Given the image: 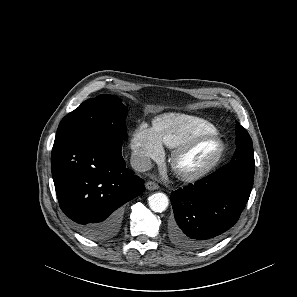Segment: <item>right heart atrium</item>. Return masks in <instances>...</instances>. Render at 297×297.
<instances>
[{
    "instance_id": "obj_1",
    "label": "right heart atrium",
    "mask_w": 297,
    "mask_h": 297,
    "mask_svg": "<svg viewBox=\"0 0 297 297\" xmlns=\"http://www.w3.org/2000/svg\"><path fill=\"white\" fill-rule=\"evenodd\" d=\"M131 148L140 169L149 168L153 161L160 160L164 154L154 130L146 124H142L135 132Z\"/></svg>"
}]
</instances>
